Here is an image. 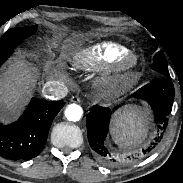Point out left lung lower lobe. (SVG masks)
Segmentation results:
<instances>
[{"label": "left lung lower lobe", "mask_w": 183, "mask_h": 183, "mask_svg": "<svg viewBox=\"0 0 183 183\" xmlns=\"http://www.w3.org/2000/svg\"><path fill=\"white\" fill-rule=\"evenodd\" d=\"M133 95L136 98L146 100L150 104L154 111L156 123L167 125L174 100V86L170 81V75L152 80ZM110 118L111 110L99 105H94L86 117L90 146L105 162H115V158L107 150L104 143L108 134ZM154 147V144L146 147L142 150V154L149 153Z\"/></svg>", "instance_id": "left-lung-lower-lobe-1"}]
</instances>
